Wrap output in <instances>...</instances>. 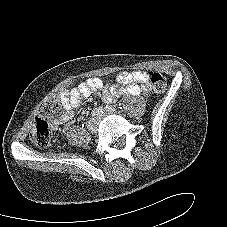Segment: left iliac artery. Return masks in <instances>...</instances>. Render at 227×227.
<instances>
[{"label": "left iliac artery", "mask_w": 227, "mask_h": 227, "mask_svg": "<svg viewBox=\"0 0 227 227\" xmlns=\"http://www.w3.org/2000/svg\"><path fill=\"white\" fill-rule=\"evenodd\" d=\"M105 111H106L108 114H113V113L116 112L115 108L112 107V106H109V105H107V106L105 107Z\"/></svg>", "instance_id": "obj_1"}]
</instances>
